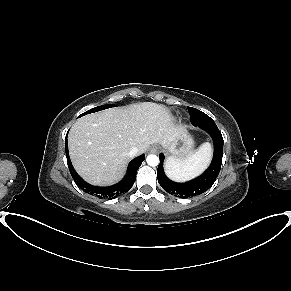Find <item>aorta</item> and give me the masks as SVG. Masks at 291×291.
Segmentation results:
<instances>
[{
    "mask_svg": "<svg viewBox=\"0 0 291 291\" xmlns=\"http://www.w3.org/2000/svg\"><path fill=\"white\" fill-rule=\"evenodd\" d=\"M147 164L150 166H157L159 164V158L156 155H149L146 158Z\"/></svg>",
    "mask_w": 291,
    "mask_h": 291,
    "instance_id": "aorta-1",
    "label": "aorta"
}]
</instances>
